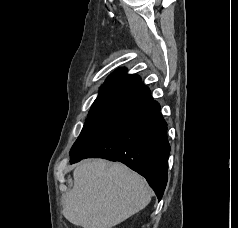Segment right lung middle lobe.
Masks as SVG:
<instances>
[{"label":"right lung middle lobe","instance_id":"right-lung-middle-lobe-1","mask_svg":"<svg viewBox=\"0 0 238 228\" xmlns=\"http://www.w3.org/2000/svg\"><path fill=\"white\" fill-rule=\"evenodd\" d=\"M117 115H96L89 114L87 120L85 121L84 127L78 139L71 148L70 153L75 152L78 148L92 139L105 127H107L114 120L119 118Z\"/></svg>","mask_w":238,"mask_h":228}]
</instances>
